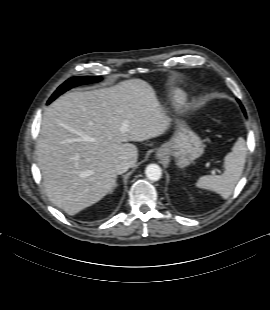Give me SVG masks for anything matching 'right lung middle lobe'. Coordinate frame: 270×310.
I'll return each instance as SVG.
<instances>
[{
    "label": "right lung middle lobe",
    "instance_id": "dd1d6c3e",
    "mask_svg": "<svg viewBox=\"0 0 270 310\" xmlns=\"http://www.w3.org/2000/svg\"><path fill=\"white\" fill-rule=\"evenodd\" d=\"M101 80L100 77H94V76H80V77H73L64 82L51 96V98L48 101V104L52 102L55 98H57L60 94L64 93L68 89L77 86L82 85L86 83H93Z\"/></svg>",
    "mask_w": 270,
    "mask_h": 310
}]
</instances>
